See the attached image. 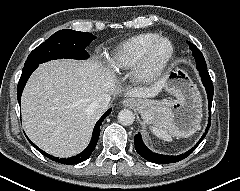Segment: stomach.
<instances>
[{"label": "stomach", "mask_w": 240, "mask_h": 191, "mask_svg": "<svg viewBox=\"0 0 240 191\" xmlns=\"http://www.w3.org/2000/svg\"><path fill=\"white\" fill-rule=\"evenodd\" d=\"M163 81V88L175 96L176 100L137 99L136 109L143 120L151 123L160 113L167 112L178 130L196 129L202 116V100L197 86L189 75L178 67L170 68L163 77Z\"/></svg>", "instance_id": "stomach-1"}]
</instances>
